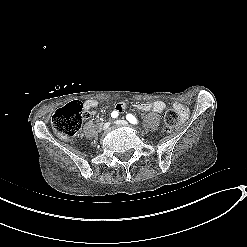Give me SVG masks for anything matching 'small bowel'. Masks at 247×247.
<instances>
[{
    "mask_svg": "<svg viewBox=\"0 0 247 247\" xmlns=\"http://www.w3.org/2000/svg\"><path fill=\"white\" fill-rule=\"evenodd\" d=\"M98 104V101L95 99L87 100L82 104L83 111L85 113H90V111L96 108ZM134 108L141 112H154L157 114H161L165 109V104L162 101L144 102L135 104ZM175 108L179 112L181 119H185L187 117L188 110L184 105L176 103ZM125 109L126 104L124 102H119L115 105V111L120 114L123 113Z\"/></svg>",
    "mask_w": 247,
    "mask_h": 247,
    "instance_id": "1",
    "label": "small bowel"
}]
</instances>
